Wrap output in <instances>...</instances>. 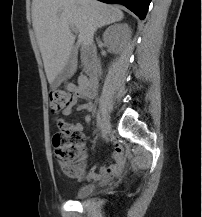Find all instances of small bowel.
<instances>
[{
    "label": "small bowel",
    "mask_w": 202,
    "mask_h": 217,
    "mask_svg": "<svg viewBox=\"0 0 202 217\" xmlns=\"http://www.w3.org/2000/svg\"><path fill=\"white\" fill-rule=\"evenodd\" d=\"M66 89L73 95L74 102L77 97H82L86 99V102L83 104H80L77 109L79 111H88L90 112L93 109V102L92 99L94 97V93H88L82 86V78L79 79L78 84H72L69 83L66 85ZM73 102V103H74ZM71 108H67L64 113L66 115L70 114ZM91 116L86 115L85 116V122L87 124L91 123ZM71 127L75 130H82L83 125L81 123H73L71 124ZM127 157L126 150L118 143L116 142L114 144V152H113V161L114 163L111 165H102L99 167V173L96 172L95 168L90 169L86 176L91 179H99L101 176H104L105 178H111L117 175L122 174L126 170V163L125 159ZM84 159V158H83Z\"/></svg>",
    "instance_id": "1"
}]
</instances>
